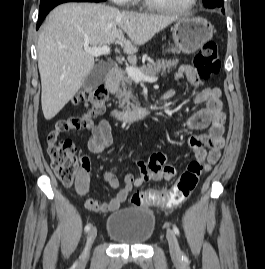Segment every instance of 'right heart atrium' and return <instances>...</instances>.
<instances>
[{
	"label": "right heart atrium",
	"mask_w": 265,
	"mask_h": 269,
	"mask_svg": "<svg viewBox=\"0 0 265 269\" xmlns=\"http://www.w3.org/2000/svg\"><path fill=\"white\" fill-rule=\"evenodd\" d=\"M110 1L113 2L116 5L123 6V5H127V4L131 3L134 0H110Z\"/></svg>",
	"instance_id": "right-heart-atrium-1"
}]
</instances>
